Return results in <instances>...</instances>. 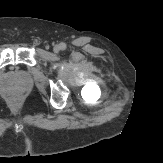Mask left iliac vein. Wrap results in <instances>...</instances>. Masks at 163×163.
<instances>
[{
  "label": "left iliac vein",
  "mask_w": 163,
  "mask_h": 163,
  "mask_svg": "<svg viewBox=\"0 0 163 163\" xmlns=\"http://www.w3.org/2000/svg\"><path fill=\"white\" fill-rule=\"evenodd\" d=\"M53 50L55 53H58L60 51V46L58 45L54 46Z\"/></svg>",
  "instance_id": "left-iliac-vein-1"
}]
</instances>
